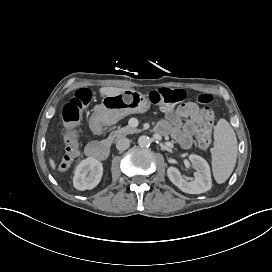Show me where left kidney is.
Listing matches in <instances>:
<instances>
[{
    "label": "left kidney",
    "instance_id": "1",
    "mask_svg": "<svg viewBox=\"0 0 272 272\" xmlns=\"http://www.w3.org/2000/svg\"><path fill=\"white\" fill-rule=\"evenodd\" d=\"M188 159L200 169V171L194 173L195 180L188 183L174 167H170L167 171L169 179L186 193L199 194L209 191L212 187V178L208 162L196 154H191Z\"/></svg>",
    "mask_w": 272,
    "mask_h": 272
}]
</instances>
